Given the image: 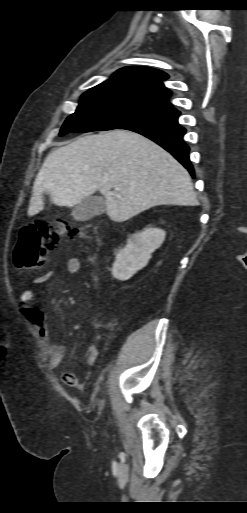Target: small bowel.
<instances>
[{"mask_svg": "<svg viewBox=\"0 0 247 513\" xmlns=\"http://www.w3.org/2000/svg\"><path fill=\"white\" fill-rule=\"evenodd\" d=\"M81 263L77 257H69L66 260L65 269L70 274H76L79 272ZM53 275V270L50 269L37 277L34 284H41L46 282ZM34 296L33 289H25L21 292L18 298V303L21 312L25 315L26 319L35 327L41 340L47 346L46 353V364L50 368H57L63 362L66 349L63 345L54 343L51 338L49 326L47 323L46 315L43 311L34 308L31 305L32 298ZM99 357V351L95 345L88 346L85 354V363L92 366L96 363ZM63 382L68 386L79 387L82 383L72 373L63 374Z\"/></svg>", "mask_w": 247, "mask_h": 513, "instance_id": "small-bowel-1", "label": "small bowel"}]
</instances>
